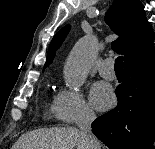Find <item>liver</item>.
Here are the masks:
<instances>
[{"mask_svg":"<svg viewBox=\"0 0 155 149\" xmlns=\"http://www.w3.org/2000/svg\"><path fill=\"white\" fill-rule=\"evenodd\" d=\"M87 149L81 131L75 127L38 129L23 134L12 149Z\"/></svg>","mask_w":155,"mask_h":149,"instance_id":"6515ba94","label":"liver"}]
</instances>
